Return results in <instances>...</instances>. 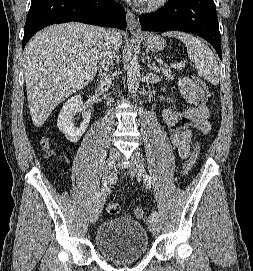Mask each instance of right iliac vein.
<instances>
[{
  "label": "right iliac vein",
  "instance_id": "63e3f726",
  "mask_svg": "<svg viewBox=\"0 0 253 271\" xmlns=\"http://www.w3.org/2000/svg\"><path fill=\"white\" fill-rule=\"evenodd\" d=\"M119 158V153L117 151H111L110 155H109V160L108 163L106 165L104 174H103V191H102V195L99 198V200L95 203V205L92 208L91 214H90V222L91 223H95L99 216L100 213L103 209L104 206V200H105V189L112 183L113 181V177H114V173L116 170V162Z\"/></svg>",
  "mask_w": 253,
  "mask_h": 271
}]
</instances>
